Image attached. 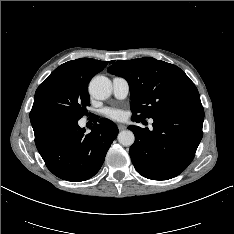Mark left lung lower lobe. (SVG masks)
<instances>
[{
  "label": "left lung lower lobe",
  "mask_w": 234,
  "mask_h": 234,
  "mask_svg": "<svg viewBox=\"0 0 234 234\" xmlns=\"http://www.w3.org/2000/svg\"><path fill=\"white\" fill-rule=\"evenodd\" d=\"M139 122V119L131 118ZM153 130L129 126L135 142L130 157L142 176L167 180L183 172L192 162L202 139V104L179 108L153 118Z\"/></svg>",
  "instance_id": "obj_1"
}]
</instances>
